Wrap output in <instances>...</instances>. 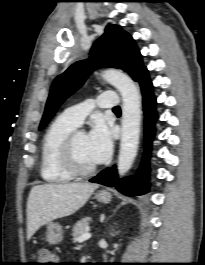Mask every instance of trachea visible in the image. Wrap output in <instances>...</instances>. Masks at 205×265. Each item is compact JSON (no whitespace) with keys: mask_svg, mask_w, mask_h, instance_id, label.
<instances>
[{"mask_svg":"<svg viewBox=\"0 0 205 265\" xmlns=\"http://www.w3.org/2000/svg\"><path fill=\"white\" fill-rule=\"evenodd\" d=\"M114 110H120V107H119V106H117V107H115V108H114Z\"/></svg>","mask_w":205,"mask_h":265,"instance_id":"3493384b","label":"trachea"}]
</instances>
